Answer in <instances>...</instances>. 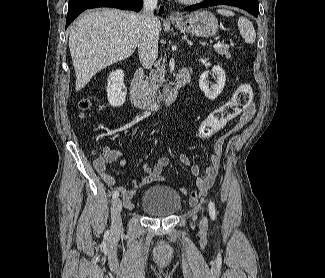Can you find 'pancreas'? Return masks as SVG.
<instances>
[{
	"label": "pancreas",
	"mask_w": 325,
	"mask_h": 278,
	"mask_svg": "<svg viewBox=\"0 0 325 278\" xmlns=\"http://www.w3.org/2000/svg\"><path fill=\"white\" fill-rule=\"evenodd\" d=\"M215 50L218 54L225 56L226 58L231 57L229 46L227 44H222ZM165 73L166 70L164 66L158 65L155 70L151 71L143 82L144 93L153 101L158 102L167 92ZM160 89H162L163 95L160 93Z\"/></svg>",
	"instance_id": "obj_1"
}]
</instances>
